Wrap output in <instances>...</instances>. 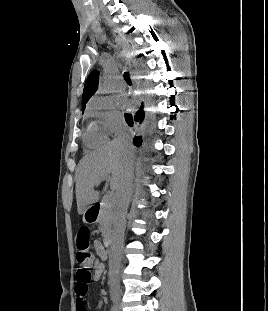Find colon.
<instances>
[{"instance_id": "colon-1", "label": "colon", "mask_w": 268, "mask_h": 311, "mask_svg": "<svg viewBox=\"0 0 268 311\" xmlns=\"http://www.w3.org/2000/svg\"><path fill=\"white\" fill-rule=\"evenodd\" d=\"M76 260L78 268L76 272L78 291L82 295H86L88 291V283L92 278L90 272V264L93 255L90 251V233L88 228L83 227L79 230L76 239Z\"/></svg>"}]
</instances>
